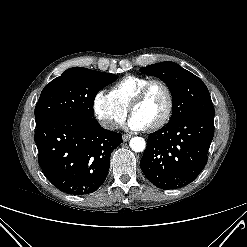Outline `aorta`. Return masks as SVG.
Segmentation results:
<instances>
[{"label":"aorta","instance_id":"762f6f07","mask_svg":"<svg viewBox=\"0 0 247 247\" xmlns=\"http://www.w3.org/2000/svg\"><path fill=\"white\" fill-rule=\"evenodd\" d=\"M131 149L135 152H142L146 147V142L142 137H134L129 143Z\"/></svg>","mask_w":247,"mask_h":247}]
</instances>
